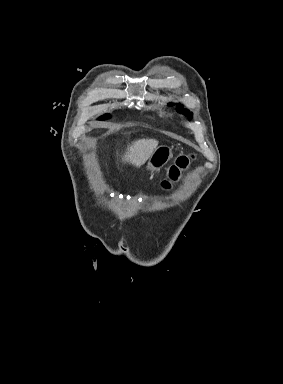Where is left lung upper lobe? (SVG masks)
I'll list each match as a JSON object with an SVG mask.
<instances>
[{
  "label": "left lung upper lobe",
  "instance_id": "left-lung-upper-lobe-1",
  "mask_svg": "<svg viewBox=\"0 0 283 384\" xmlns=\"http://www.w3.org/2000/svg\"><path fill=\"white\" fill-rule=\"evenodd\" d=\"M170 105H173V104H170ZM177 111L185 114L186 116H188V118L190 119L192 117V113H190L188 110L186 109H183L181 105H178L177 106Z\"/></svg>",
  "mask_w": 283,
  "mask_h": 384
}]
</instances>
